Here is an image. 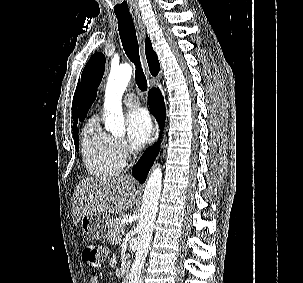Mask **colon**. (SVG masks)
<instances>
[{
    "label": "colon",
    "instance_id": "obj_1",
    "mask_svg": "<svg viewBox=\"0 0 303 283\" xmlns=\"http://www.w3.org/2000/svg\"><path fill=\"white\" fill-rule=\"evenodd\" d=\"M108 246L102 243H87L82 248V258L93 269H99L109 257Z\"/></svg>",
    "mask_w": 303,
    "mask_h": 283
}]
</instances>
